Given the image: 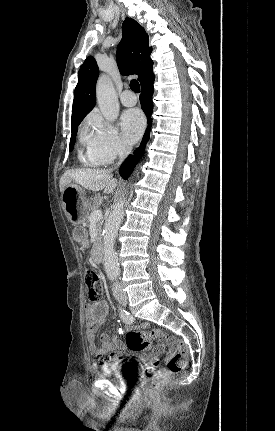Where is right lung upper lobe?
<instances>
[{"label": "right lung upper lobe", "mask_w": 275, "mask_h": 431, "mask_svg": "<svg viewBox=\"0 0 275 431\" xmlns=\"http://www.w3.org/2000/svg\"><path fill=\"white\" fill-rule=\"evenodd\" d=\"M123 37L117 48V61L123 75L137 74L141 87L153 77L152 48L143 27L135 20L126 18L122 24ZM98 66L92 56L86 58L78 72V84L74 91L71 127L81 123L96 104L95 86Z\"/></svg>", "instance_id": "cb5924a9"}]
</instances>
